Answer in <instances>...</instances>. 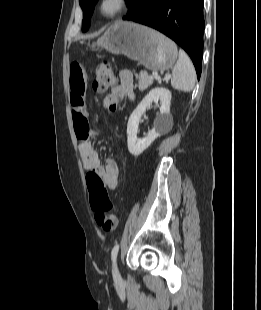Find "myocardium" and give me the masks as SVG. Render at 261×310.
Wrapping results in <instances>:
<instances>
[{
    "instance_id": "1",
    "label": "myocardium",
    "mask_w": 261,
    "mask_h": 310,
    "mask_svg": "<svg viewBox=\"0 0 261 310\" xmlns=\"http://www.w3.org/2000/svg\"><path fill=\"white\" fill-rule=\"evenodd\" d=\"M110 5V8L107 6ZM129 7V0H99L97 10L105 19H113Z\"/></svg>"
}]
</instances>
